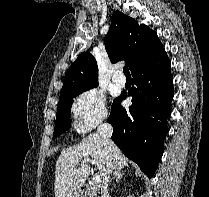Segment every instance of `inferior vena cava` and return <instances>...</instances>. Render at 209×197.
I'll list each match as a JSON object with an SVG mask.
<instances>
[{
  "instance_id": "inferior-vena-cava-1",
  "label": "inferior vena cava",
  "mask_w": 209,
  "mask_h": 197,
  "mask_svg": "<svg viewBox=\"0 0 209 197\" xmlns=\"http://www.w3.org/2000/svg\"><path fill=\"white\" fill-rule=\"evenodd\" d=\"M113 132V127L109 123L101 124L97 129V134L102 138L103 142L107 145L109 151L113 148V142L111 141V136ZM114 163L110 160L104 172L103 183L101 188V197L108 196V186L111 174L114 170Z\"/></svg>"
}]
</instances>
